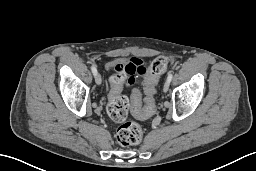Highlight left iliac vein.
<instances>
[{
    "label": "left iliac vein",
    "instance_id": "1",
    "mask_svg": "<svg viewBox=\"0 0 256 171\" xmlns=\"http://www.w3.org/2000/svg\"><path fill=\"white\" fill-rule=\"evenodd\" d=\"M169 86H170V82L166 80V82L164 83V86H163V91L167 92L169 89Z\"/></svg>",
    "mask_w": 256,
    "mask_h": 171
}]
</instances>
